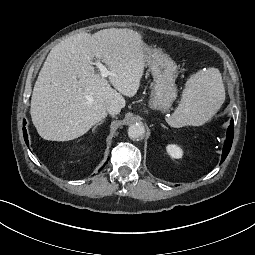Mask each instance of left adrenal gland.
I'll return each mask as SVG.
<instances>
[{"mask_svg":"<svg viewBox=\"0 0 255 255\" xmlns=\"http://www.w3.org/2000/svg\"><path fill=\"white\" fill-rule=\"evenodd\" d=\"M161 126H162L163 128H167L164 124H161Z\"/></svg>","mask_w":255,"mask_h":255,"instance_id":"left-adrenal-gland-1","label":"left adrenal gland"}]
</instances>
